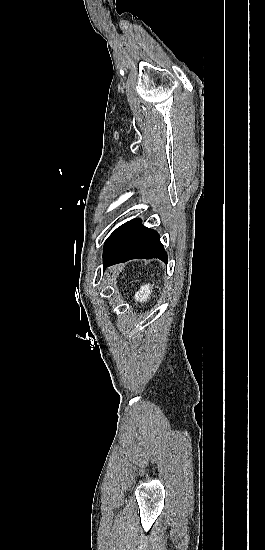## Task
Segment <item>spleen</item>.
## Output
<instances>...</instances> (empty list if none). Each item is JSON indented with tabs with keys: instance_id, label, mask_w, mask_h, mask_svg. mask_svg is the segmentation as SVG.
I'll list each match as a JSON object with an SVG mask.
<instances>
[{
	"instance_id": "obj_1",
	"label": "spleen",
	"mask_w": 265,
	"mask_h": 550,
	"mask_svg": "<svg viewBox=\"0 0 265 550\" xmlns=\"http://www.w3.org/2000/svg\"><path fill=\"white\" fill-rule=\"evenodd\" d=\"M152 287L153 285L149 283L142 285L139 291L135 293V301L140 303L147 302L152 294Z\"/></svg>"
}]
</instances>
